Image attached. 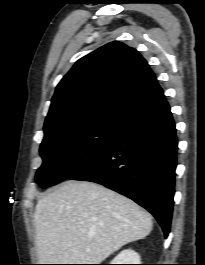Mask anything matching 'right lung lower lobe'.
Returning a JSON list of instances; mask_svg holds the SVG:
<instances>
[{"instance_id":"obj_1","label":"right lung lower lobe","mask_w":205,"mask_h":265,"mask_svg":"<svg viewBox=\"0 0 205 265\" xmlns=\"http://www.w3.org/2000/svg\"><path fill=\"white\" fill-rule=\"evenodd\" d=\"M178 142L169 104L162 95L123 122L111 142L70 179L92 181L146 208L165 237L173 211Z\"/></svg>"}]
</instances>
